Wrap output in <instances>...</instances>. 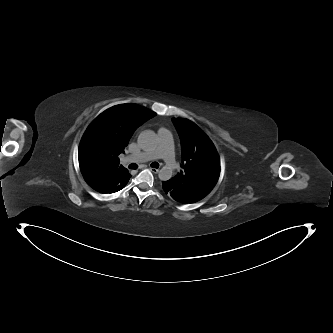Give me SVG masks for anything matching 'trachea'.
Here are the masks:
<instances>
[{
    "mask_svg": "<svg viewBox=\"0 0 333 333\" xmlns=\"http://www.w3.org/2000/svg\"><path fill=\"white\" fill-rule=\"evenodd\" d=\"M151 167L158 168L159 164L157 162H153V163H151ZM129 168L130 169H137L138 165H136L135 163H132V164L129 165Z\"/></svg>",
    "mask_w": 333,
    "mask_h": 333,
    "instance_id": "obj_1",
    "label": "trachea"
}]
</instances>
